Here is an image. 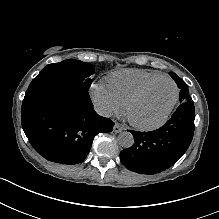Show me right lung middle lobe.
<instances>
[{
    "label": "right lung middle lobe",
    "instance_id": "1",
    "mask_svg": "<svg viewBox=\"0 0 219 219\" xmlns=\"http://www.w3.org/2000/svg\"><path fill=\"white\" fill-rule=\"evenodd\" d=\"M95 72V68L86 62L79 60H65L44 67L35 79L58 78L77 82L89 90L92 80L90 76Z\"/></svg>",
    "mask_w": 219,
    "mask_h": 219
}]
</instances>
